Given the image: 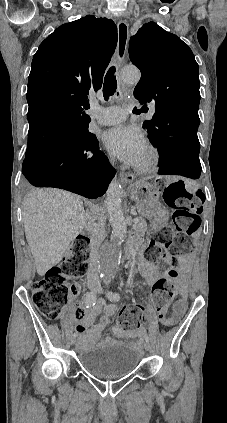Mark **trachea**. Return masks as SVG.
<instances>
[{"label": "trachea", "instance_id": "obj_1", "mask_svg": "<svg viewBox=\"0 0 227 423\" xmlns=\"http://www.w3.org/2000/svg\"><path fill=\"white\" fill-rule=\"evenodd\" d=\"M115 67H110L108 72L106 73L104 84H103V95L104 98L107 100L109 97L114 95L117 90V81L115 77ZM137 110L134 108V111Z\"/></svg>", "mask_w": 227, "mask_h": 423}]
</instances>
